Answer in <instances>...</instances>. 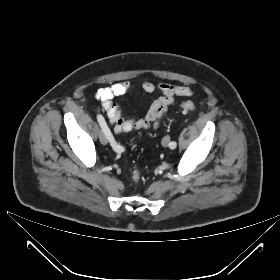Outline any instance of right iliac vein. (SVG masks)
I'll return each mask as SVG.
<instances>
[{
  "label": "right iliac vein",
  "mask_w": 280,
  "mask_h": 280,
  "mask_svg": "<svg viewBox=\"0 0 280 280\" xmlns=\"http://www.w3.org/2000/svg\"><path fill=\"white\" fill-rule=\"evenodd\" d=\"M99 141H100L101 144H103V145H106V144L108 143V139H107L105 133L102 132V131H101L100 134H99Z\"/></svg>",
  "instance_id": "obj_1"
}]
</instances>
